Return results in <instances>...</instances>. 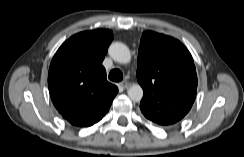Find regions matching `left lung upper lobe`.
Instances as JSON below:
<instances>
[{
	"label": "left lung upper lobe",
	"mask_w": 244,
	"mask_h": 157,
	"mask_svg": "<svg viewBox=\"0 0 244 157\" xmlns=\"http://www.w3.org/2000/svg\"><path fill=\"white\" fill-rule=\"evenodd\" d=\"M137 78L144 95L143 115L167 126L191 109L197 92V74L190 52L177 39L153 31L142 34Z\"/></svg>",
	"instance_id": "5c2ea615"
}]
</instances>
